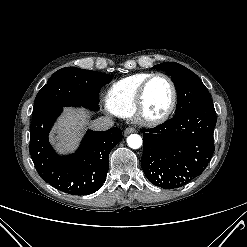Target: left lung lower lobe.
<instances>
[{
  "instance_id": "1",
  "label": "left lung lower lobe",
  "mask_w": 247,
  "mask_h": 247,
  "mask_svg": "<svg viewBox=\"0 0 247 247\" xmlns=\"http://www.w3.org/2000/svg\"><path fill=\"white\" fill-rule=\"evenodd\" d=\"M216 112L203 105L176 114L152 129H141V167L148 180L164 189L181 187L201 175L215 150Z\"/></svg>"
}]
</instances>
